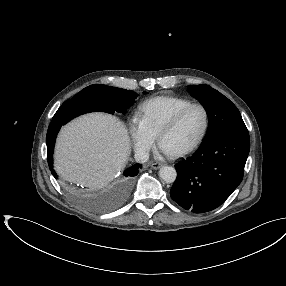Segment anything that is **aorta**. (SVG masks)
I'll return each instance as SVG.
<instances>
[{"mask_svg":"<svg viewBox=\"0 0 286 286\" xmlns=\"http://www.w3.org/2000/svg\"><path fill=\"white\" fill-rule=\"evenodd\" d=\"M160 178L166 183H173L176 180L177 173L175 168L164 166L159 170Z\"/></svg>","mask_w":286,"mask_h":286,"instance_id":"1","label":"aorta"}]
</instances>
